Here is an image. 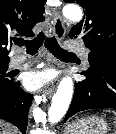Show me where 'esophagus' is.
Segmentation results:
<instances>
[{
	"label": "esophagus",
	"mask_w": 116,
	"mask_h": 134,
	"mask_svg": "<svg viewBox=\"0 0 116 134\" xmlns=\"http://www.w3.org/2000/svg\"><path fill=\"white\" fill-rule=\"evenodd\" d=\"M52 24H53V34L55 35V37L60 38V39L63 38L65 36L66 29H65L64 22H63L61 15L56 10L53 11ZM50 64L52 66H55L56 65L55 60L50 59ZM58 81L59 79L57 78L54 81L50 82L45 87V90L43 91L45 96H51L53 94L54 89H55V83Z\"/></svg>",
	"instance_id": "34e87169"
}]
</instances>
